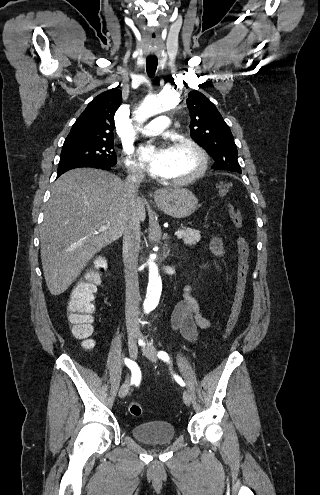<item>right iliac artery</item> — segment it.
Listing matches in <instances>:
<instances>
[{
  "label": "right iliac artery",
  "instance_id": "82829eb1",
  "mask_svg": "<svg viewBox=\"0 0 320 495\" xmlns=\"http://www.w3.org/2000/svg\"><path fill=\"white\" fill-rule=\"evenodd\" d=\"M125 364L132 372L131 384L138 382L140 379V369L138 365L128 358H125Z\"/></svg>",
  "mask_w": 320,
  "mask_h": 495
}]
</instances>
